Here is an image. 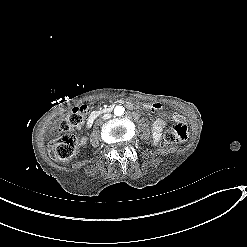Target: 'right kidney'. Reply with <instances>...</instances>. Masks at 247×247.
Listing matches in <instances>:
<instances>
[{"instance_id":"obj_1","label":"right kidney","mask_w":247,"mask_h":247,"mask_svg":"<svg viewBox=\"0 0 247 247\" xmlns=\"http://www.w3.org/2000/svg\"><path fill=\"white\" fill-rule=\"evenodd\" d=\"M86 142H87V138L83 137V138L81 139V144L85 145Z\"/></svg>"}]
</instances>
